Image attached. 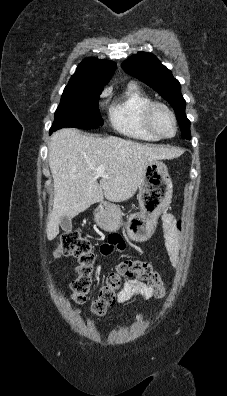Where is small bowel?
I'll list each match as a JSON object with an SVG mask.
<instances>
[{"label": "small bowel", "instance_id": "small-bowel-1", "mask_svg": "<svg viewBox=\"0 0 227 396\" xmlns=\"http://www.w3.org/2000/svg\"><path fill=\"white\" fill-rule=\"evenodd\" d=\"M163 221V234L164 246L171 259L173 265L178 264L180 244L177 231L180 230V223L176 221L175 217L171 214H164ZM124 249L123 239L117 235L112 234L109 236L108 241L102 244L101 252L103 255H110L113 251H120ZM153 296V288L146 283L137 279L126 280L124 286L117 294V301L120 304L127 303L133 299L148 300Z\"/></svg>", "mask_w": 227, "mask_h": 396}]
</instances>
